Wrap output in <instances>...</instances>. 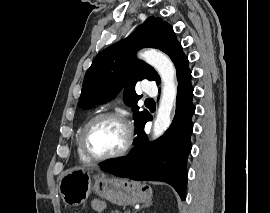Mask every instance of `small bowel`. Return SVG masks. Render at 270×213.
Segmentation results:
<instances>
[{
    "label": "small bowel",
    "instance_id": "obj_1",
    "mask_svg": "<svg viewBox=\"0 0 270 213\" xmlns=\"http://www.w3.org/2000/svg\"><path fill=\"white\" fill-rule=\"evenodd\" d=\"M92 207L97 213H102L105 210V205L102 202H92Z\"/></svg>",
    "mask_w": 270,
    "mask_h": 213
}]
</instances>
